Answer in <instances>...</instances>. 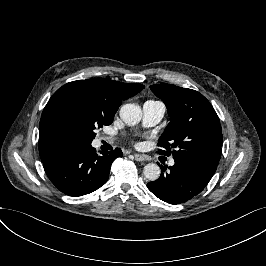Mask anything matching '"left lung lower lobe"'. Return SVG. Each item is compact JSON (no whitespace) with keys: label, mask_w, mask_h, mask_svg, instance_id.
Here are the masks:
<instances>
[{"label":"left lung lower lobe","mask_w":266,"mask_h":266,"mask_svg":"<svg viewBox=\"0 0 266 266\" xmlns=\"http://www.w3.org/2000/svg\"><path fill=\"white\" fill-rule=\"evenodd\" d=\"M175 164L166 171L162 167L159 179L149 182L148 189L169 204L184 203L199 194L208 184L217 165L190 157H174Z\"/></svg>","instance_id":"left-lung-lower-lobe-1"}]
</instances>
